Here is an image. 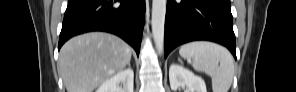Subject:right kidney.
Segmentation results:
<instances>
[{
    "label": "right kidney",
    "mask_w": 296,
    "mask_h": 92,
    "mask_svg": "<svg viewBox=\"0 0 296 92\" xmlns=\"http://www.w3.org/2000/svg\"><path fill=\"white\" fill-rule=\"evenodd\" d=\"M120 85H123L120 86ZM134 72L132 69H125L105 80L96 92H133Z\"/></svg>",
    "instance_id": "obj_1"
}]
</instances>
